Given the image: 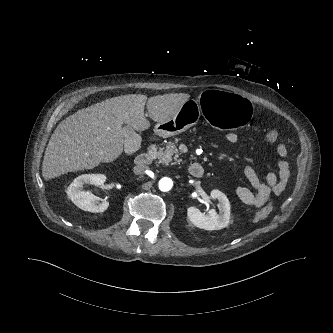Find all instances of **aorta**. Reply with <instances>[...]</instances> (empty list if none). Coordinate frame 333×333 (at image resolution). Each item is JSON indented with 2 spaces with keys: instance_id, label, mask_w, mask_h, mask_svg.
<instances>
[{
  "instance_id": "obj_1",
  "label": "aorta",
  "mask_w": 333,
  "mask_h": 333,
  "mask_svg": "<svg viewBox=\"0 0 333 333\" xmlns=\"http://www.w3.org/2000/svg\"><path fill=\"white\" fill-rule=\"evenodd\" d=\"M159 189L163 192L170 191L173 187V181L171 178L163 177L158 183Z\"/></svg>"
}]
</instances>
